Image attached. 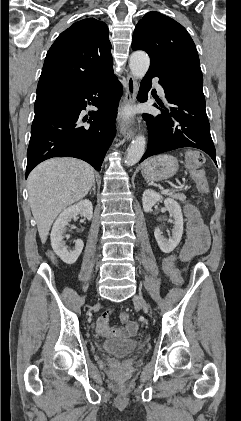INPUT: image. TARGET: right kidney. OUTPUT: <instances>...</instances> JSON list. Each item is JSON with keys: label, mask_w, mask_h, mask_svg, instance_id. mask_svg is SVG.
I'll use <instances>...</instances> for the list:
<instances>
[{"label": "right kidney", "mask_w": 241, "mask_h": 421, "mask_svg": "<svg viewBox=\"0 0 241 421\" xmlns=\"http://www.w3.org/2000/svg\"><path fill=\"white\" fill-rule=\"evenodd\" d=\"M80 214L91 220L93 217V206L90 200H81L80 202L65 209L56 219L50 237L54 252L67 264H74L80 256L84 243L81 239L75 240V246L69 250L64 241V231L68 223Z\"/></svg>", "instance_id": "ca27d5eb"}]
</instances>
